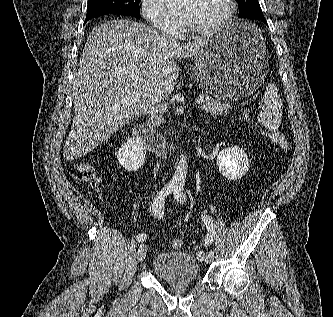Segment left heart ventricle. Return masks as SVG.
<instances>
[{"label":"left heart ventricle","mask_w":333,"mask_h":317,"mask_svg":"<svg viewBox=\"0 0 333 317\" xmlns=\"http://www.w3.org/2000/svg\"><path fill=\"white\" fill-rule=\"evenodd\" d=\"M188 9L186 21L197 27L205 28L217 22L224 14V0H185L181 10Z\"/></svg>","instance_id":"left-heart-ventricle-1"}]
</instances>
